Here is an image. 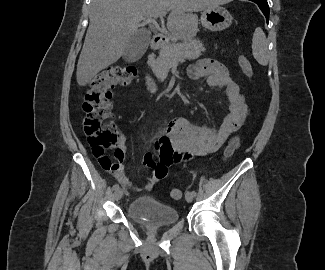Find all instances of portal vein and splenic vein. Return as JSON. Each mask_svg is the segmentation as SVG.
<instances>
[{
    "instance_id": "obj_1",
    "label": "portal vein and splenic vein",
    "mask_w": 325,
    "mask_h": 270,
    "mask_svg": "<svg viewBox=\"0 0 325 270\" xmlns=\"http://www.w3.org/2000/svg\"><path fill=\"white\" fill-rule=\"evenodd\" d=\"M163 16H164V15L161 14L159 17L162 18ZM155 18H156V17H155ZM141 20H143V17H137V18H136V21H138V22L141 21ZM148 21H152V20H148Z\"/></svg>"
}]
</instances>
